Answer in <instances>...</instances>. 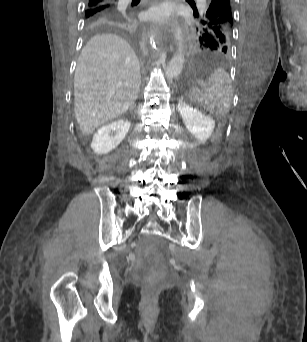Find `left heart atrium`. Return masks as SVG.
<instances>
[{"instance_id":"left-heart-atrium-1","label":"left heart atrium","mask_w":307,"mask_h":342,"mask_svg":"<svg viewBox=\"0 0 307 342\" xmlns=\"http://www.w3.org/2000/svg\"><path fill=\"white\" fill-rule=\"evenodd\" d=\"M149 15L152 20L163 23L169 17V10L166 7H156L150 10Z\"/></svg>"}]
</instances>
